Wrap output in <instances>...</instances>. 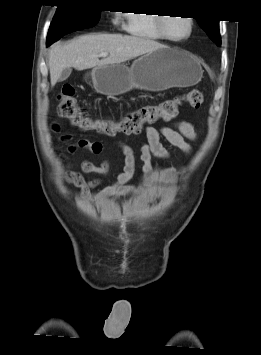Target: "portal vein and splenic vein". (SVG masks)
<instances>
[{
    "mask_svg": "<svg viewBox=\"0 0 261 355\" xmlns=\"http://www.w3.org/2000/svg\"><path fill=\"white\" fill-rule=\"evenodd\" d=\"M107 55H108L107 52H102V53L99 54L100 57H106Z\"/></svg>",
    "mask_w": 261,
    "mask_h": 355,
    "instance_id": "obj_1",
    "label": "portal vein and splenic vein"
}]
</instances>
